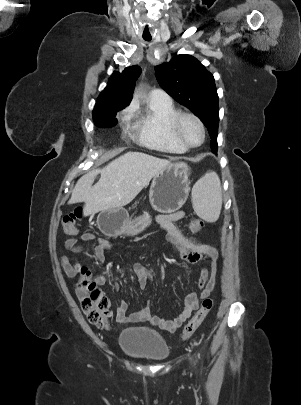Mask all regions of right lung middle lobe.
Instances as JSON below:
<instances>
[{
	"label": "right lung middle lobe",
	"mask_w": 301,
	"mask_h": 405,
	"mask_svg": "<svg viewBox=\"0 0 301 405\" xmlns=\"http://www.w3.org/2000/svg\"><path fill=\"white\" fill-rule=\"evenodd\" d=\"M119 110L106 111L94 109L93 120L99 127H112L117 123L116 114Z\"/></svg>",
	"instance_id": "dd1d6c3e"
}]
</instances>
